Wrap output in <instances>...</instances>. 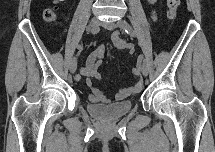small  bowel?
<instances>
[{
  "label": "small bowel",
  "mask_w": 215,
  "mask_h": 152,
  "mask_svg": "<svg viewBox=\"0 0 215 152\" xmlns=\"http://www.w3.org/2000/svg\"><path fill=\"white\" fill-rule=\"evenodd\" d=\"M149 4H153L154 0H149ZM153 20L156 19V13H152ZM114 46L121 50H127L133 54L134 49L132 45L121 38L118 32H114L109 36ZM105 59L104 45H98L96 49L91 52L85 62V65L80 69V73L76 75L75 79L80 80L81 77L85 78L86 85L90 90L89 99L92 102L107 103L109 100L106 95L101 92L95 85L94 81L101 79V66ZM141 82H136L128 87L119 90L116 97L118 100H123L130 95L136 94L141 90Z\"/></svg>",
  "instance_id": "obj_1"
}]
</instances>
